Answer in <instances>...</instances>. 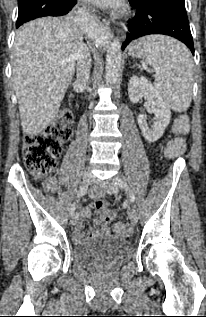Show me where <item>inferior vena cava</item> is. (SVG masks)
<instances>
[{
	"label": "inferior vena cava",
	"instance_id": "1",
	"mask_svg": "<svg viewBox=\"0 0 206 317\" xmlns=\"http://www.w3.org/2000/svg\"><path fill=\"white\" fill-rule=\"evenodd\" d=\"M75 59L77 61V83L80 89H84L89 82L91 56L88 48L83 43L75 54Z\"/></svg>",
	"mask_w": 206,
	"mask_h": 317
}]
</instances>
